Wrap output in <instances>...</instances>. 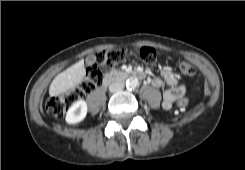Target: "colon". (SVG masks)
Segmentation results:
<instances>
[{"instance_id":"obj_1","label":"colon","mask_w":245,"mask_h":170,"mask_svg":"<svg viewBox=\"0 0 245 170\" xmlns=\"http://www.w3.org/2000/svg\"><path fill=\"white\" fill-rule=\"evenodd\" d=\"M126 56V51L122 49H112L109 51H101L95 55L92 65L87 69L85 79L76 87L63 92L57 96L49 97L46 100V110L50 115L62 117L67 108L75 101L81 99L86 93L98 87L103 80V69L112 68L120 64ZM139 58L147 64H152L157 60V53L151 48H141L138 51ZM179 70L186 77H194L196 70L194 66L187 60L179 62ZM199 85L197 89H199ZM188 104L187 99L180 100L177 105L184 107Z\"/></svg>"}]
</instances>
